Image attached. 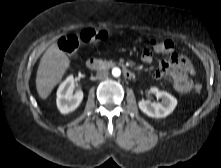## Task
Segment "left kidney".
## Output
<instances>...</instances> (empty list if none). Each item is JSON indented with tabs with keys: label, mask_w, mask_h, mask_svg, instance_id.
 Here are the masks:
<instances>
[{
	"label": "left kidney",
	"mask_w": 221,
	"mask_h": 168,
	"mask_svg": "<svg viewBox=\"0 0 221 168\" xmlns=\"http://www.w3.org/2000/svg\"><path fill=\"white\" fill-rule=\"evenodd\" d=\"M150 92L157 97L162 98L160 103H152L150 100H141L138 102L140 110L152 118H164L171 114L177 106V99L165 91L152 87Z\"/></svg>",
	"instance_id": "1"
}]
</instances>
